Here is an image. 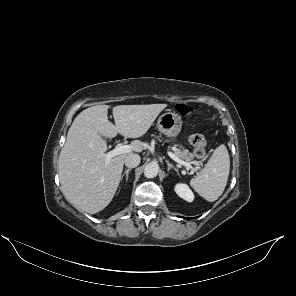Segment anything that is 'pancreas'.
Wrapping results in <instances>:
<instances>
[{
    "label": "pancreas",
    "mask_w": 296,
    "mask_h": 296,
    "mask_svg": "<svg viewBox=\"0 0 296 296\" xmlns=\"http://www.w3.org/2000/svg\"><path fill=\"white\" fill-rule=\"evenodd\" d=\"M174 153L175 155L178 157V158H181V159H185L186 162L188 163H194V164H197L196 161H192V158H193V155L191 153H189V151L187 149H175L174 150Z\"/></svg>",
    "instance_id": "1"
}]
</instances>
